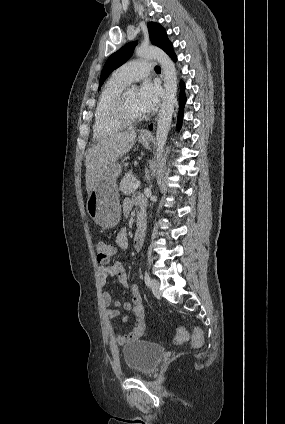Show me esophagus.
<instances>
[{"label":"esophagus","mask_w":285,"mask_h":424,"mask_svg":"<svg viewBox=\"0 0 285 424\" xmlns=\"http://www.w3.org/2000/svg\"><path fill=\"white\" fill-rule=\"evenodd\" d=\"M163 76H164V73L162 71V77ZM141 136H143V137H149L150 136V133H149V131L144 130V131L141 132Z\"/></svg>","instance_id":"obj_1"}]
</instances>
